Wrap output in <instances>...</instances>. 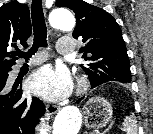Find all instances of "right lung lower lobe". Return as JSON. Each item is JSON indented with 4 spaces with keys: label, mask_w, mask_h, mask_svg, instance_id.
Here are the masks:
<instances>
[{
    "label": "right lung lower lobe",
    "mask_w": 153,
    "mask_h": 134,
    "mask_svg": "<svg viewBox=\"0 0 153 134\" xmlns=\"http://www.w3.org/2000/svg\"><path fill=\"white\" fill-rule=\"evenodd\" d=\"M11 68L0 72V134H34L45 107L37 97L22 96L21 92L6 94V81Z\"/></svg>",
    "instance_id": "98d812e1"
}]
</instances>
